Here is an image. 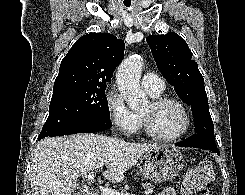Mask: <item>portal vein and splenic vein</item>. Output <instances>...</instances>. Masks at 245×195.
Listing matches in <instances>:
<instances>
[{"label":"portal vein and splenic vein","mask_w":245,"mask_h":195,"mask_svg":"<svg viewBox=\"0 0 245 195\" xmlns=\"http://www.w3.org/2000/svg\"><path fill=\"white\" fill-rule=\"evenodd\" d=\"M96 172L92 171L87 175L88 180L92 181L95 178ZM99 190L101 191L102 195H136L133 193H120L108 187H104L99 185Z\"/></svg>","instance_id":"18ae733b"}]
</instances>
